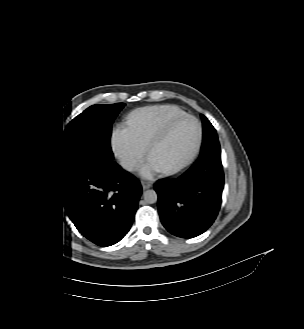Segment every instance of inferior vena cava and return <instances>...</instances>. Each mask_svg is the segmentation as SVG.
<instances>
[{"instance_id": "inferior-vena-cava-1", "label": "inferior vena cava", "mask_w": 304, "mask_h": 329, "mask_svg": "<svg viewBox=\"0 0 304 329\" xmlns=\"http://www.w3.org/2000/svg\"><path fill=\"white\" fill-rule=\"evenodd\" d=\"M120 164L122 168L127 171H133L136 166L132 160H128V159L122 160Z\"/></svg>"}]
</instances>
